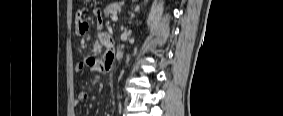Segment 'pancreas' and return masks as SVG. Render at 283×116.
I'll list each match as a JSON object with an SVG mask.
<instances>
[{
	"label": "pancreas",
	"mask_w": 283,
	"mask_h": 116,
	"mask_svg": "<svg viewBox=\"0 0 283 116\" xmlns=\"http://www.w3.org/2000/svg\"><path fill=\"white\" fill-rule=\"evenodd\" d=\"M122 3H113L108 5L105 10L104 14L106 17H108L110 14H116L117 11L121 8Z\"/></svg>",
	"instance_id": "1"
}]
</instances>
